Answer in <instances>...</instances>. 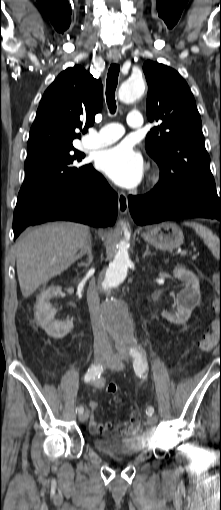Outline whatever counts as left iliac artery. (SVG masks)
Segmentation results:
<instances>
[{"label":"left iliac artery","instance_id":"1","mask_svg":"<svg viewBox=\"0 0 221 510\" xmlns=\"http://www.w3.org/2000/svg\"><path fill=\"white\" fill-rule=\"evenodd\" d=\"M130 354L133 356V367L134 371L138 376H141L147 369L148 363L146 358L141 350L136 348L130 349ZM147 415H152L154 413V408L149 406L146 410Z\"/></svg>","mask_w":221,"mask_h":510}]
</instances>
